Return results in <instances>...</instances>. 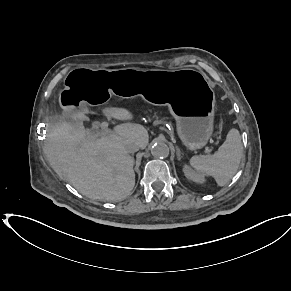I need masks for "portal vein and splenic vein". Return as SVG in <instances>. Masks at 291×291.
<instances>
[{
	"mask_svg": "<svg viewBox=\"0 0 291 291\" xmlns=\"http://www.w3.org/2000/svg\"><path fill=\"white\" fill-rule=\"evenodd\" d=\"M109 133H111V130L108 128V124L106 122H103L100 124V129L94 133H91V135L93 137H99V136L107 135ZM206 151L211 152V150H209V149H206Z\"/></svg>",
	"mask_w": 291,
	"mask_h": 291,
	"instance_id": "portal-vein-and-splenic-vein-1",
	"label": "portal vein and splenic vein"
}]
</instances>
